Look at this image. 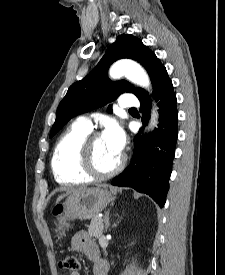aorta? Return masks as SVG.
Here are the masks:
<instances>
[{"label": "aorta", "instance_id": "obj_1", "mask_svg": "<svg viewBox=\"0 0 225 275\" xmlns=\"http://www.w3.org/2000/svg\"><path fill=\"white\" fill-rule=\"evenodd\" d=\"M109 75L113 79L125 76L132 83L145 89H150L151 87L150 79L146 71L139 64L132 61H119L115 63L110 68ZM156 121L157 113L153 111L150 121L151 128L155 126Z\"/></svg>", "mask_w": 225, "mask_h": 275}]
</instances>
